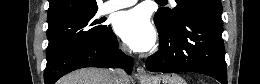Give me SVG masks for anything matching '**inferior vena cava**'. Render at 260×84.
<instances>
[{"label": "inferior vena cava", "instance_id": "obj_1", "mask_svg": "<svg viewBox=\"0 0 260 84\" xmlns=\"http://www.w3.org/2000/svg\"><path fill=\"white\" fill-rule=\"evenodd\" d=\"M114 84H129V77L123 69H115L114 71Z\"/></svg>", "mask_w": 260, "mask_h": 84}]
</instances>
